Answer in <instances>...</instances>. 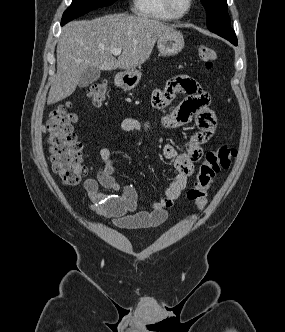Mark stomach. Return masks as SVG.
<instances>
[{"mask_svg":"<svg viewBox=\"0 0 285 332\" xmlns=\"http://www.w3.org/2000/svg\"><path fill=\"white\" fill-rule=\"evenodd\" d=\"M157 47L161 55H175L183 49L184 38L181 33L173 30L158 39ZM141 76L140 70H125L117 75V84L124 90H131L138 85Z\"/></svg>","mask_w":285,"mask_h":332,"instance_id":"stomach-1","label":"stomach"}]
</instances>
